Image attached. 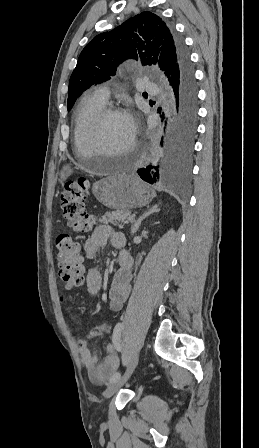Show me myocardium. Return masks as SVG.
<instances>
[{"label": "myocardium", "mask_w": 259, "mask_h": 448, "mask_svg": "<svg viewBox=\"0 0 259 448\" xmlns=\"http://www.w3.org/2000/svg\"><path fill=\"white\" fill-rule=\"evenodd\" d=\"M124 116V113L122 109L119 106L116 105H105L92 119L91 123L87 127L86 133H85V141L87 146L90 149H98V150H109L105 144L102 141V127L105 122V120L111 116ZM136 144V137L133 135L132 143L129 147L133 148ZM78 158V163H84L82 152L79 151L76 153ZM91 171H100V170H91Z\"/></svg>", "instance_id": "1"}]
</instances>
